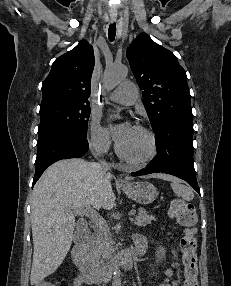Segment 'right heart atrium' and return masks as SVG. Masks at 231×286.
Instances as JSON below:
<instances>
[{
  "instance_id": "d8ad5b80",
  "label": "right heart atrium",
  "mask_w": 231,
  "mask_h": 286,
  "mask_svg": "<svg viewBox=\"0 0 231 286\" xmlns=\"http://www.w3.org/2000/svg\"><path fill=\"white\" fill-rule=\"evenodd\" d=\"M88 143L90 148L99 154L106 153L111 146L109 132L102 126L97 115H93L90 120Z\"/></svg>"
}]
</instances>
